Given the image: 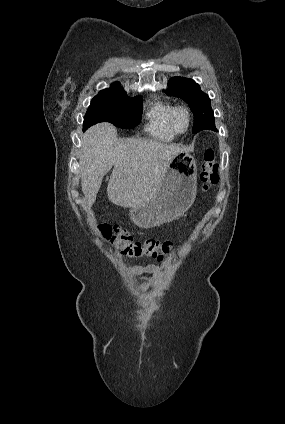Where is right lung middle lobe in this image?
<instances>
[{
    "mask_svg": "<svg viewBox=\"0 0 285 424\" xmlns=\"http://www.w3.org/2000/svg\"><path fill=\"white\" fill-rule=\"evenodd\" d=\"M141 97L129 98L124 90L102 91L96 95L84 117L83 131L99 122H110L116 127L130 129L140 123Z\"/></svg>",
    "mask_w": 285,
    "mask_h": 424,
    "instance_id": "1",
    "label": "right lung middle lobe"
}]
</instances>
